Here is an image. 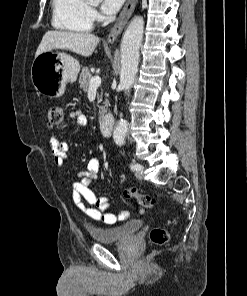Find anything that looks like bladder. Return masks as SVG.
Wrapping results in <instances>:
<instances>
[{
	"mask_svg": "<svg viewBox=\"0 0 247 296\" xmlns=\"http://www.w3.org/2000/svg\"><path fill=\"white\" fill-rule=\"evenodd\" d=\"M144 226L141 220H130L119 226L94 227L89 226L88 230L94 241L99 243H112L125 240Z\"/></svg>",
	"mask_w": 247,
	"mask_h": 296,
	"instance_id": "31cf9c89",
	"label": "bladder"
}]
</instances>
